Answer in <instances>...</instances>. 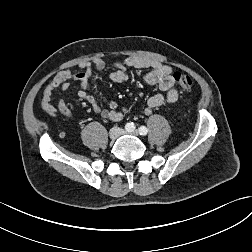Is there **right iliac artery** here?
Wrapping results in <instances>:
<instances>
[{"label": "right iliac artery", "instance_id": "right-iliac-artery-1", "mask_svg": "<svg viewBox=\"0 0 252 252\" xmlns=\"http://www.w3.org/2000/svg\"><path fill=\"white\" fill-rule=\"evenodd\" d=\"M125 129L128 131V132H131V131H133L134 129H135V126H134V124L131 122V123H127L126 125H125Z\"/></svg>", "mask_w": 252, "mask_h": 252}]
</instances>
